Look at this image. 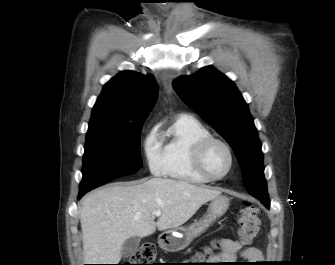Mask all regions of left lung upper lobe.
<instances>
[{
  "label": "left lung upper lobe",
  "instance_id": "obj_1",
  "mask_svg": "<svg viewBox=\"0 0 335 265\" xmlns=\"http://www.w3.org/2000/svg\"><path fill=\"white\" fill-rule=\"evenodd\" d=\"M172 86L229 143L248 193L269 207L262 144L248 105L235 84L208 66L175 79Z\"/></svg>",
  "mask_w": 335,
  "mask_h": 265
}]
</instances>
